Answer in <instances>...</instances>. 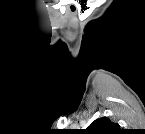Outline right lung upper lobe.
Listing matches in <instances>:
<instances>
[{"instance_id":"cb5924a9","label":"right lung upper lobe","mask_w":145,"mask_h":134,"mask_svg":"<svg viewBox=\"0 0 145 134\" xmlns=\"http://www.w3.org/2000/svg\"><path fill=\"white\" fill-rule=\"evenodd\" d=\"M120 130L119 124L112 122L107 117H102L93 121L83 132L85 134H117Z\"/></svg>"}]
</instances>
